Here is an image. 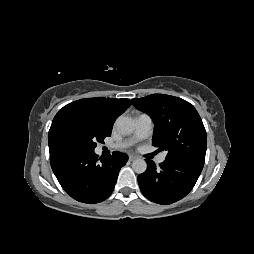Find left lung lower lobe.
<instances>
[{"label":"left lung lower lobe","mask_w":254,"mask_h":254,"mask_svg":"<svg viewBox=\"0 0 254 254\" xmlns=\"http://www.w3.org/2000/svg\"><path fill=\"white\" fill-rule=\"evenodd\" d=\"M148 168L138 176L143 195L158 204H171L185 197L194 187L204 163L192 159H166L157 168L146 159Z\"/></svg>","instance_id":"obj_1"}]
</instances>
